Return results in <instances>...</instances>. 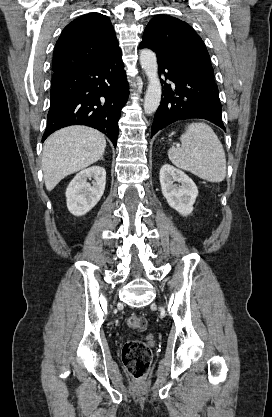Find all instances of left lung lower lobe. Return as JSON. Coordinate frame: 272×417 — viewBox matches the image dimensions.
<instances>
[{
	"instance_id": "left-lung-lower-lobe-1",
	"label": "left lung lower lobe",
	"mask_w": 272,
	"mask_h": 417,
	"mask_svg": "<svg viewBox=\"0 0 272 417\" xmlns=\"http://www.w3.org/2000/svg\"><path fill=\"white\" fill-rule=\"evenodd\" d=\"M141 48V47H140ZM159 73L165 76L163 99L155 114L151 137L173 122L191 118L208 120L225 130L219 91L214 79L193 69L158 61Z\"/></svg>"
}]
</instances>
